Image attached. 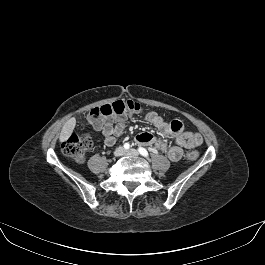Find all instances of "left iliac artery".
Instances as JSON below:
<instances>
[{
	"label": "left iliac artery",
	"mask_w": 265,
	"mask_h": 265,
	"mask_svg": "<svg viewBox=\"0 0 265 265\" xmlns=\"http://www.w3.org/2000/svg\"><path fill=\"white\" fill-rule=\"evenodd\" d=\"M138 151L144 157H148L149 156L148 151L145 148L140 147V148H138Z\"/></svg>",
	"instance_id": "obj_1"
}]
</instances>
